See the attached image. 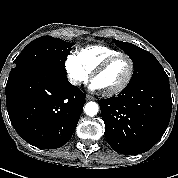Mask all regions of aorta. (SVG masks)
Listing matches in <instances>:
<instances>
[{"label": "aorta", "instance_id": "obj_1", "mask_svg": "<svg viewBox=\"0 0 178 178\" xmlns=\"http://www.w3.org/2000/svg\"><path fill=\"white\" fill-rule=\"evenodd\" d=\"M99 106L96 102H88L84 106V112L88 116H95L98 113Z\"/></svg>", "mask_w": 178, "mask_h": 178}]
</instances>
